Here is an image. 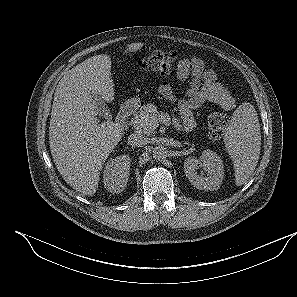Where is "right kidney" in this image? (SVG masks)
I'll return each mask as SVG.
<instances>
[{"instance_id":"obj_1","label":"right kidney","mask_w":297,"mask_h":297,"mask_svg":"<svg viewBox=\"0 0 297 297\" xmlns=\"http://www.w3.org/2000/svg\"><path fill=\"white\" fill-rule=\"evenodd\" d=\"M131 159L128 155L110 158L106 163L103 182L104 187L111 193L122 192L128 182Z\"/></svg>"}]
</instances>
